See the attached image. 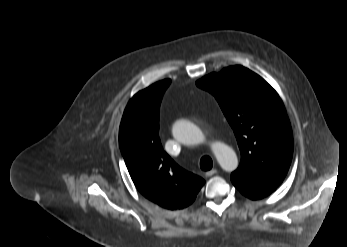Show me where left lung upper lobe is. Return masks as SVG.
<instances>
[{"instance_id":"left-lung-upper-lobe-1","label":"left lung upper lobe","mask_w":347,"mask_h":247,"mask_svg":"<svg viewBox=\"0 0 347 247\" xmlns=\"http://www.w3.org/2000/svg\"><path fill=\"white\" fill-rule=\"evenodd\" d=\"M196 84L214 95L235 133L241 163L231 177L279 186L291 163L293 136L277 92L242 66L211 73Z\"/></svg>"}]
</instances>
